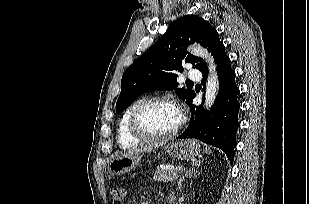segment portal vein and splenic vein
Segmentation results:
<instances>
[{
	"label": "portal vein and splenic vein",
	"instance_id": "portal-vein-and-splenic-vein-1",
	"mask_svg": "<svg viewBox=\"0 0 309 204\" xmlns=\"http://www.w3.org/2000/svg\"><path fill=\"white\" fill-rule=\"evenodd\" d=\"M184 169H185L184 167H181V168H180V171H183Z\"/></svg>",
	"mask_w": 309,
	"mask_h": 204
}]
</instances>
